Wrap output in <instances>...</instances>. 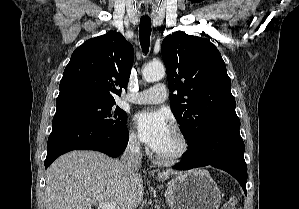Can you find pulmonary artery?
I'll return each mask as SVG.
<instances>
[{"instance_id":"pulmonary-artery-1","label":"pulmonary artery","mask_w":299,"mask_h":209,"mask_svg":"<svg viewBox=\"0 0 299 209\" xmlns=\"http://www.w3.org/2000/svg\"><path fill=\"white\" fill-rule=\"evenodd\" d=\"M168 97V90L163 83L137 92L127 97V100L135 104H158L164 102Z\"/></svg>"}]
</instances>
